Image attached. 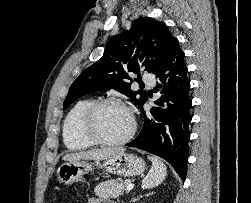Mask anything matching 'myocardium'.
<instances>
[{"label": "myocardium", "mask_w": 251, "mask_h": 203, "mask_svg": "<svg viewBox=\"0 0 251 203\" xmlns=\"http://www.w3.org/2000/svg\"><path fill=\"white\" fill-rule=\"evenodd\" d=\"M107 105H117L123 107L129 113L131 118V127L127 134L116 140L105 139L96 130L97 115L101 108ZM80 127L82 134L94 144L103 146H118L127 143L134 136L137 128V123L130 109L122 101L116 98H102L93 101L86 108L81 118Z\"/></svg>", "instance_id": "myocardium-1"}]
</instances>
